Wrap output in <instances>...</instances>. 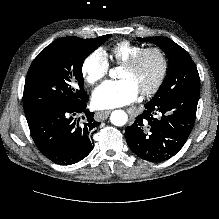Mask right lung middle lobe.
I'll list each match as a JSON object with an SVG mask.
<instances>
[{
  "instance_id": "right-lung-middle-lobe-1",
  "label": "right lung middle lobe",
  "mask_w": 219,
  "mask_h": 219,
  "mask_svg": "<svg viewBox=\"0 0 219 219\" xmlns=\"http://www.w3.org/2000/svg\"><path fill=\"white\" fill-rule=\"evenodd\" d=\"M110 36L96 39L68 36L57 39L42 50L27 73L24 112L55 102L77 104L87 98L83 88L82 64Z\"/></svg>"
}]
</instances>
